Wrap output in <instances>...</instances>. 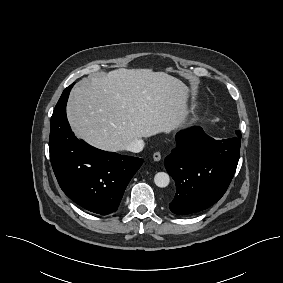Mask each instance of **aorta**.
<instances>
[{
  "mask_svg": "<svg viewBox=\"0 0 283 283\" xmlns=\"http://www.w3.org/2000/svg\"><path fill=\"white\" fill-rule=\"evenodd\" d=\"M170 177L165 172H158L154 176V183L160 188H165L169 185Z\"/></svg>",
  "mask_w": 283,
  "mask_h": 283,
  "instance_id": "1",
  "label": "aorta"
}]
</instances>
